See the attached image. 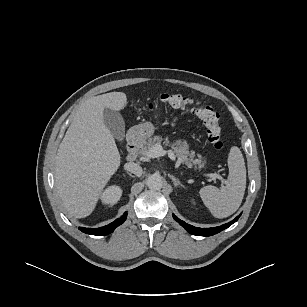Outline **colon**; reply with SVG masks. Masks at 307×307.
Segmentation results:
<instances>
[{
	"label": "colon",
	"mask_w": 307,
	"mask_h": 307,
	"mask_svg": "<svg viewBox=\"0 0 307 307\" xmlns=\"http://www.w3.org/2000/svg\"><path fill=\"white\" fill-rule=\"evenodd\" d=\"M157 104L171 106L196 115L204 124L207 131L208 140L216 150L224 148V142L221 137V125L218 113L210 106L196 101L191 97L180 94H162L158 100L150 102L147 105L139 106L137 109L141 112L151 111Z\"/></svg>",
	"instance_id": "1"
}]
</instances>
